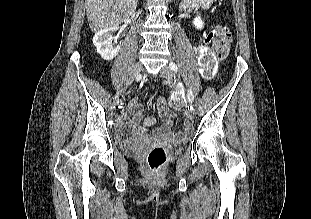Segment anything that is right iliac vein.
<instances>
[{
	"mask_svg": "<svg viewBox=\"0 0 311 219\" xmlns=\"http://www.w3.org/2000/svg\"><path fill=\"white\" fill-rule=\"evenodd\" d=\"M142 69H143V65H142L140 62L136 63V64L133 66V68H132V70H131V72H130V74H129V77H128V79H127V82H126L125 87H124L122 90H120V91L118 92V94H117V98H116V100H115V104H116V105L120 103L121 97H123V95H124V93H125L127 87L135 80L136 77H138V75L140 74V72L142 71Z\"/></svg>",
	"mask_w": 311,
	"mask_h": 219,
	"instance_id": "right-iliac-vein-1",
	"label": "right iliac vein"
}]
</instances>
